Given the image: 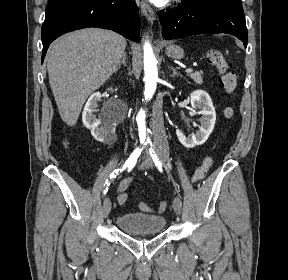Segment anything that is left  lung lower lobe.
<instances>
[{
	"instance_id": "obj_1",
	"label": "left lung lower lobe",
	"mask_w": 288,
	"mask_h": 280,
	"mask_svg": "<svg viewBox=\"0 0 288 280\" xmlns=\"http://www.w3.org/2000/svg\"><path fill=\"white\" fill-rule=\"evenodd\" d=\"M165 39L195 34L228 33L247 47L248 32L244 12L215 0H183L178 7L159 13Z\"/></svg>"
}]
</instances>
